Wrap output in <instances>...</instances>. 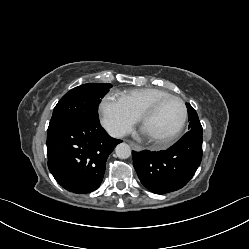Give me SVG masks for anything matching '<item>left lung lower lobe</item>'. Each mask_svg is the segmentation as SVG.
<instances>
[{"label": "left lung lower lobe", "instance_id": "1", "mask_svg": "<svg viewBox=\"0 0 249 249\" xmlns=\"http://www.w3.org/2000/svg\"><path fill=\"white\" fill-rule=\"evenodd\" d=\"M202 142V133H186L165 151H132L133 165L141 183L156 194L185 186L200 165Z\"/></svg>", "mask_w": 249, "mask_h": 249}]
</instances>
